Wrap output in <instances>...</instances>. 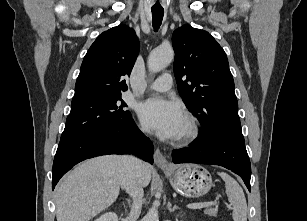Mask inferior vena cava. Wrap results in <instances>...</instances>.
I'll return each instance as SVG.
<instances>
[{"label":"inferior vena cava","mask_w":307,"mask_h":221,"mask_svg":"<svg viewBox=\"0 0 307 221\" xmlns=\"http://www.w3.org/2000/svg\"><path fill=\"white\" fill-rule=\"evenodd\" d=\"M142 161L133 156H124V174L121 187L132 197L133 204L127 221H136L141 213L143 186L139 177Z\"/></svg>","instance_id":"1"}]
</instances>
